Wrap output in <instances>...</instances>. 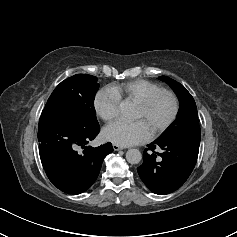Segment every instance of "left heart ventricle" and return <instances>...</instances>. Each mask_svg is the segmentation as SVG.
I'll return each instance as SVG.
<instances>
[{"instance_id": "1", "label": "left heart ventricle", "mask_w": 237, "mask_h": 237, "mask_svg": "<svg viewBox=\"0 0 237 237\" xmlns=\"http://www.w3.org/2000/svg\"><path fill=\"white\" fill-rule=\"evenodd\" d=\"M172 109V100L167 96H163L155 102V104L146 114H144L137 106H135L133 119L140 120L148 132L151 133L154 128L168 119L172 113Z\"/></svg>"}]
</instances>
